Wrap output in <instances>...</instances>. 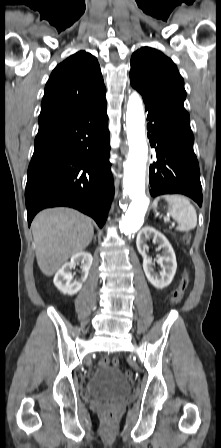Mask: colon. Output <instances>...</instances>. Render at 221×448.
<instances>
[{
    "instance_id": "colon-1",
    "label": "colon",
    "mask_w": 221,
    "mask_h": 448,
    "mask_svg": "<svg viewBox=\"0 0 221 448\" xmlns=\"http://www.w3.org/2000/svg\"><path fill=\"white\" fill-rule=\"evenodd\" d=\"M189 241H190V235H186L185 242H189ZM188 282H189L188 273H187V271H185L178 287L173 292V295H172V303L173 304H178L181 301L182 296L188 287ZM119 363L120 362L117 358H114L112 360V365L115 367L119 366ZM108 364H109V360L107 358H103L100 360V365L106 366ZM125 375H126V377L130 378L132 376V373L129 370H127V371H125ZM103 416L106 420L110 421L116 417V413L113 409L107 408L104 410Z\"/></svg>"
}]
</instances>
